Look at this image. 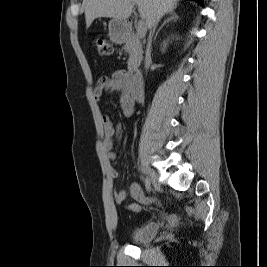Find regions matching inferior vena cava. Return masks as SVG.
Wrapping results in <instances>:
<instances>
[{"label": "inferior vena cava", "instance_id": "obj_1", "mask_svg": "<svg viewBox=\"0 0 267 267\" xmlns=\"http://www.w3.org/2000/svg\"><path fill=\"white\" fill-rule=\"evenodd\" d=\"M160 20V17H156L154 20H153V23L151 25V31H150V34H149V38H148V43H147V48H146V53H145V68L147 69L148 68V65H149V60H150V56H151V42H152V36H153V33L158 25V22Z\"/></svg>", "mask_w": 267, "mask_h": 267}]
</instances>
